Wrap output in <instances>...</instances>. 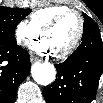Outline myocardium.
<instances>
[{
    "label": "myocardium",
    "mask_w": 103,
    "mask_h": 103,
    "mask_svg": "<svg viewBox=\"0 0 103 103\" xmlns=\"http://www.w3.org/2000/svg\"><path fill=\"white\" fill-rule=\"evenodd\" d=\"M75 15L79 20V28L78 32L76 34V37L72 41V43L65 48L64 50L60 52L54 53V56L59 59H63L68 57L70 54L74 52V50L78 47L80 44L84 31H85V20L82 16V14L75 10V9H69L65 12L59 14L57 17H55L52 21H50L47 25L44 26V28L41 30V35L44 36L47 32L51 31L52 29L56 28L63 20H65L67 17Z\"/></svg>",
    "instance_id": "f54148a6"
}]
</instances>
